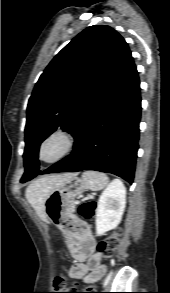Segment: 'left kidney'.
Instances as JSON below:
<instances>
[{"mask_svg": "<svg viewBox=\"0 0 170 293\" xmlns=\"http://www.w3.org/2000/svg\"><path fill=\"white\" fill-rule=\"evenodd\" d=\"M126 205V188L120 180H113L100 195L96 210V234L115 229L121 222Z\"/></svg>", "mask_w": 170, "mask_h": 293, "instance_id": "obj_1", "label": "left kidney"}]
</instances>
